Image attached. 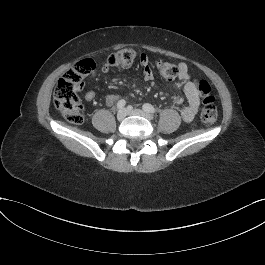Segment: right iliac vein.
<instances>
[{"label": "right iliac vein", "mask_w": 265, "mask_h": 265, "mask_svg": "<svg viewBox=\"0 0 265 265\" xmlns=\"http://www.w3.org/2000/svg\"><path fill=\"white\" fill-rule=\"evenodd\" d=\"M127 115V112L125 109H120L117 113V120L122 121Z\"/></svg>", "instance_id": "1"}]
</instances>
